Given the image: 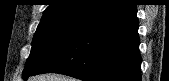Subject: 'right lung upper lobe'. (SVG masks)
I'll return each instance as SVG.
<instances>
[{
  "label": "right lung upper lobe",
  "mask_w": 169,
  "mask_h": 81,
  "mask_svg": "<svg viewBox=\"0 0 169 81\" xmlns=\"http://www.w3.org/2000/svg\"><path fill=\"white\" fill-rule=\"evenodd\" d=\"M127 0H51L43 12L42 19L76 16L91 20L123 3Z\"/></svg>",
  "instance_id": "cb5924a9"
}]
</instances>
